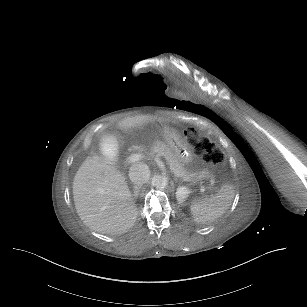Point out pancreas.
<instances>
[{"label":"pancreas","mask_w":307,"mask_h":307,"mask_svg":"<svg viewBox=\"0 0 307 307\" xmlns=\"http://www.w3.org/2000/svg\"><path fill=\"white\" fill-rule=\"evenodd\" d=\"M153 153L160 154L167 158V161L171 165L172 171L176 173L178 177H183L185 180L195 179L196 181H201L203 179V174L201 172H190L187 171L185 167H181L178 163V158L173 154L171 148H167V145L163 141H156L155 145L151 148Z\"/></svg>","instance_id":"cf45deb5"}]
</instances>
